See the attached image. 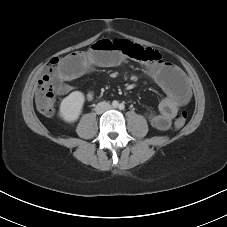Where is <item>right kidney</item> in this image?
<instances>
[{
    "instance_id": "right-kidney-1",
    "label": "right kidney",
    "mask_w": 227,
    "mask_h": 227,
    "mask_svg": "<svg viewBox=\"0 0 227 227\" xmlns=\"http://www.w3.org/2000/svg\"><path fill=\"white\" fill-rule=\"evenodd\" d=\"M84 101L85 97L82 92L74 91L70 93L60 104L59 116L65 122H75L82 112Z\"/></svg>"
}]
</instances>
